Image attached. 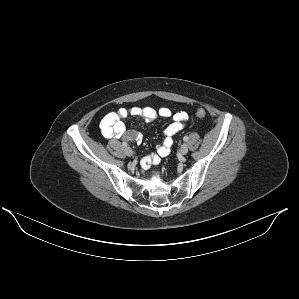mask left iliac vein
Returning <instances> with one entry per match:
<instances>
[{
	"label": "left iliac vein",
	"mask_w": 299,
	"mask_h": 299,
	"mask_svg": "<svg viewBox=\"0 0 299 299\" xmlns=\"http://www.w3.org/2000/svg\"><path fill=\"white\" fill-rule=\"evenodd\" d=\"M180 153L182 155H185V154L188 153V146H187V144L184 143V144L181 145V147H180Z\"/></svg>",
	"instance_id": "1"
}]
</instances>
